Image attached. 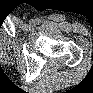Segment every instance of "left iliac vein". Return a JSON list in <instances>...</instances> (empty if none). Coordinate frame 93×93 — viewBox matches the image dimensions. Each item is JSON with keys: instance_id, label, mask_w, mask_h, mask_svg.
I'll list each match as a JSON object with an SVG mask.
<instances>
[{"instance_id": "4c4485c4", "label": "left iliac vein", "mask_w": 93, "mask_h": 93, "mask_svg": "<svg viewBox=\"0 0 93 93\" xmlns=\"http://www.w3.org/2000/svg\"><path fill=\"white\" fill-rule=\"evenodd\" d=\"M30 24H34V20H30Z\"/></svg>"}]
</instances>
